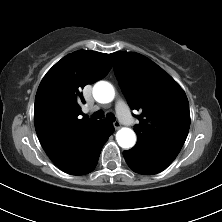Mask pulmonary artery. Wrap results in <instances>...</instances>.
<instances>
[{
    "label": "pulmonary artery",
    "mask_w": 222,
    "mask_h": 222,
    "mask_svg": "<svg viewBox=\"0 0 222 222\" xmlns=\"http://www.w3.org/2000/svg\"><path fill=\"white\" fill-rule=\"evenodd\" d=\"M125 108H126V105L124 101L118 100L116 103V110L119 113V117H121V113L125 110Z\"/></svg>",
    "instance_id": "pulmonary-artery-1"
}]
</instances>
